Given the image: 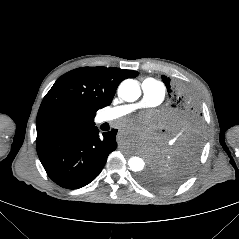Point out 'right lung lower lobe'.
<instances>
[{"label": "right lung lower lobe", "mask_w": 239, "mask_h": 239, "mask_svg": "<svg viewBox=\"0 0 239 239\" xmlns=\"http://www.w3.org/2000/svg\"><path fill=\"white\" fill-rule=\"evenodd\" d=\"M117 130L99 135L90 125L36 142L39 159L48 176L59 186L78 189L102 171L108 155L117 148Z\"/></svg>", "instance_id": "98d812e1"}]
</instances>
